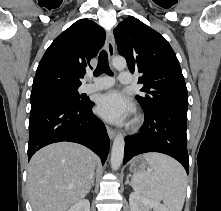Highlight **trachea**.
Returning a JSON list of instances; mask_svg holds the SVG:
<instances>
[{"label": "trachea", "mask_w": 221, "mask_h": 211, "mask_svg": "<svg viewBox=\"0 0 221 211\" xmlns=\"http://www.w3.org/2000/svg\"><path fill=\"white\" fill-rule=\"evenodd\" d=\"M102 73H106L107 75L112 76L113 73L109 67L108 63V54L105 50L101 51L99 58H98V65L94 71V76L97 77Z\"/></svg>", "instance_id": "obj_1"}]
</instances>
